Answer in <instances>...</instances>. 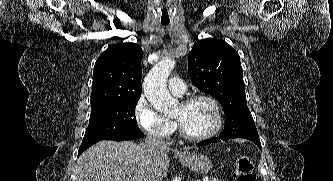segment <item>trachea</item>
I'll list each match as a JSON object with an SVG mask.
<instances>
[{
  "label": "trachea",
  "mask_w": 333,
  "mask_h": 181,
  "mask_svg": "<svg viewBox=\"0 0 333 181\" xmlns=\"http://www.w3.org/2000/svg\"><path fill=\"white\" fill-rule=\"evenodd\" d=\"M162 24H163V25H168V24H169V21H162Z\"/></svg>",
  "instance_id": "obj_1"
}]
</instances>
